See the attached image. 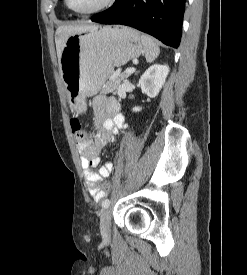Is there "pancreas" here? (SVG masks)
I'll return each mask as SVG.
<instances>
[{
    "label": "pancreas",
    "instance_id": "obj_1",
    "mask_svg": "<svg viewBox=\"0 0 247 275\" xmlns=\"http://www.w3.org/2000/svg\"><path fill=\"white\" fill-rule=\"evenodd\" d=\"M130 74L127 73H119L109 79V81L103 86L101 93L107 94V93H112L115 92L118 86L122 81L127 79Z\"/></svg>",
    "mask_w": 247,
    "mask_h": 275
}]
</instances>
